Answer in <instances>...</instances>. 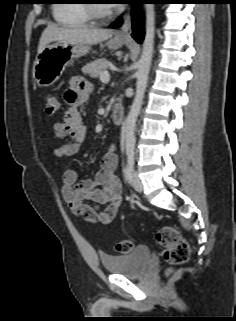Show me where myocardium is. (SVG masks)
I'll list each match as a JSON object with an SVG mask.
<instances>
[{"mask_svg": "<svg viewBox=\"0 0 236 321\" xmlns=\"http://www.w3.org/2000/svg\"><path fill=\"white\" fill-rule=\"evenodd\" d=\"M85 7L87 14L94 23H103L109 19H111L115 14L116 10L113 6L109 5L110 8H108L106 11L102 12L99 9L98 1L97 0H85Z\"/></svg>", "mask_w": 236, "mask_h": 321, "instance_id": "1", "label": "myocardium"}]
</instances>
